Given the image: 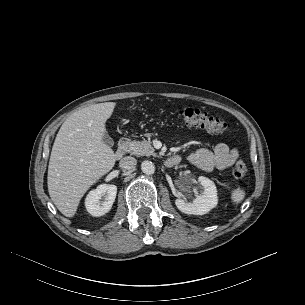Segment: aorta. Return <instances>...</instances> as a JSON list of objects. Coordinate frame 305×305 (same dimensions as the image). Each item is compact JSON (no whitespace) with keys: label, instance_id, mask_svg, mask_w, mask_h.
Masks as SVG:
<instances>
[{"label":"aorta","instance_id":"1","mask_svg":"<svg viewBox=\"0 0 305 305\" xmlns=\"http://www.w3.org/2000/svg\"><path fill=\"white\" fill-rule=\"evenodd\" d=\"M141 170L146 175H151L155 172V166L151 161L145 160L141 164Z\"/></svg>","mask_w":305,"mask_h":305}]
</instances>
